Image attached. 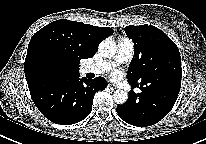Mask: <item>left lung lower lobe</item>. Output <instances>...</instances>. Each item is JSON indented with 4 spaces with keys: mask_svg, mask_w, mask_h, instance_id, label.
Returning a JSON list of instances; mask_svg holds the SVG:
<instances>
[{
    "mask_svg": "<svg viewBox=\"0 0 206 144\" xmlns=\"http://www.w3.org/2000/svg\"><path fill=\"white\" fill-rule=\"evenodd\" d=\"M132 87H139L140 93L129 92L128 101L117 106L119 117L134 126H151L164 118L173 108L179 87L162 86L148 88L141 83H129Z\"/></svg>",
    "mask_w": 206,
    "mask_h": 144,
    "instance_id": "0a47b994",
    "label": "left lung lower lobe"
}]
</instances>
